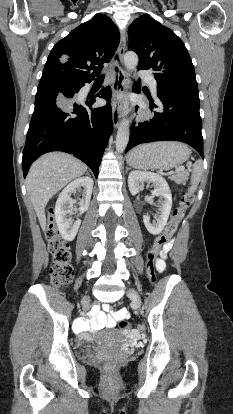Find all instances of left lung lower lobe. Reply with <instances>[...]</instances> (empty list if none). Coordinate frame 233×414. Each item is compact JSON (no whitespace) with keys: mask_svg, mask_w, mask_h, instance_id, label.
<instances>
[{"mask_svg":"<svg viewBox=\"0 0 233 414\" xmlns=\"http://www.w3.org/2000/svg\"><path fill=\"white\" fill-rule=\"evenodd\" d=\"M133 91L139 93L140 86L135 84ZM157 96L162 106L158 107L149 99L150 108L161 110L138 127L132 125L125 153L142 143L175 140L189 144L204 158L198 88L158 89Z\"/></svg>","mask_w":233,"mask_h":414,"instance_id":"1","label":"left lung lower lobe"}]
</instances>
